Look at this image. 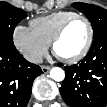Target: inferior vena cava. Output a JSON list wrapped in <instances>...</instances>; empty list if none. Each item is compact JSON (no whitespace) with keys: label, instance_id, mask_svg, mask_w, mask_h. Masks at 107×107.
Listing matches in <instances>:
<instances>
[{"label":"inferior vena cava","instance_id":"obj_1","mask_svg":"<svg viewBox=\"0 0 107 107\" xmlns=\"http://www.w3.org/2000/svg\"><path fill=\"white\" fill-rule=\"evenodd\" d=\"M26 59L31 62V63H34V64H39V63H42L43 62V58L41 55L39 54H31V55H28L26 57Z\"/></svg>","mask_w":107,"mask_h":107}]
</instances>
